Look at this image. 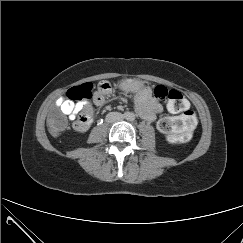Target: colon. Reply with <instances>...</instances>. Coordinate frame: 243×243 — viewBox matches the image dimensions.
<instances>
[{"instance_id":"5ec220e1","label":"colon","mask_w":243,"mask_h":243,"mask_svg":"<svg viewBox=\"0 0 243 243\" xmlns=\"http://www.w3.org/2000/svg\"><path fill=\"white\" fill-rule=\"evenodd\" d=\"M94 86L91 82L74 86L67 91V98L70 101L87 102L94 98ZM111 86L107 81L99 82L97 90L103 93L110 91ZM154 96L157 99H168V109L177 114L173 117H166L159 120L157 126L166 138L171 142H186L191 136L196 126V117L189 109V103L181 92L174 89H167L158 85L154 88ZM91 119L89 112H83L76 120L74 127L83 129ZM47 126L52 135L60 134L65 126V119L58 112H53L47 119Z\"/></svg>"}]
</instances>
